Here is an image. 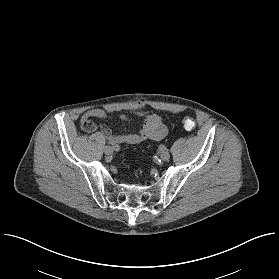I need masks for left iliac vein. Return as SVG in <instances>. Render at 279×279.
I'll list each match as a JSON object with an SVG mask.
<instances>
[{"label":"left iliac vein","instance_id":"left-iliac-vein-1","mask_svg":"<svg viewBox=\"0 0 279 279\" xmlns=\"http://www.w3.org/2000/svg\"><path fill=\"white\" fill-rule=\"evenodd\" d=\"M160 158H161L162 161L168 160L170 158L169 151H167V150L162 151L161 154H160Z\"/></svg>","mask_w":279,"mask_h":279}]
</instances>
